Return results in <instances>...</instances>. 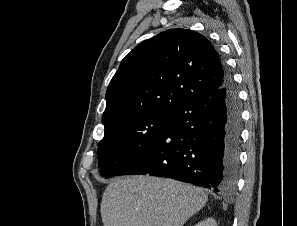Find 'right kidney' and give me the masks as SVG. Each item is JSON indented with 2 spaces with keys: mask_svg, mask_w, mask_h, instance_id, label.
<instances>
[{
  "mask_svg": "<svg viewBox=\"0 0 297 226\" xmlns=\"http://www.w3.org/2000/svg\"><path fill=\"white\" fill-rule=\"evenodd\" d=\"M195 226H217V224L213 218H207V219L197 223Z\"/></svg>",
  "mask_w": 297,
  "mask_h": 226,
  "instance_id": "ca27d5eb",
  "label": "right kidney"
}]
</instances>
